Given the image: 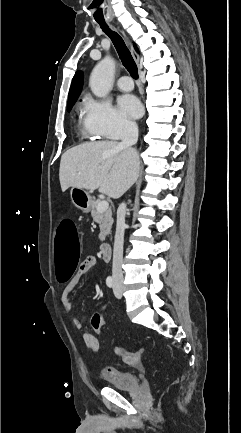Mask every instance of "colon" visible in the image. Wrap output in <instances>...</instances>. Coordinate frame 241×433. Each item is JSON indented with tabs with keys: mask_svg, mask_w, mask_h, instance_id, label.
I'll return each instance as SVG.
<instances>
[{
	"mask_svg": "<svg viewBox=\"0 0 241 433\" xmlns=\"http://www.w3.org/2000/svg\"><path fill=\"white\" fill-rule=\"evenodd\" d=\"M78 227L76 220H59L58 225H54L52 230V254L55 261L54 267L57 271V279L59 282H67L73 270L76 269L79 255V243L77 237ZM102 318L99 314H94L90 319V324L95 330H100ZM94 344L93 342L91 343ZM115 353L126 364L140 365L141 357L145 353V349H140L136 352H126L120 346L115 347ZM105 373H111L106 370Z\"/></svg>",
	"mask_w": 241,
	"mask_h": 433,
	"instance_id": "obj_1",
	"label": "colon"
}]
</instances>
